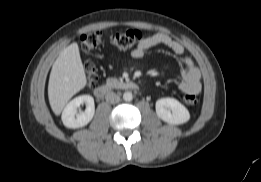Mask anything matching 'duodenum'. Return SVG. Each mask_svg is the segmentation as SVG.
I'll return each mask as SVG.
<instances>
[{"label": "duodenum", "instance_id": "obj_1", "mask_svg": "<svg viewBox=\"0 0 261 182\" xmlns=\"http://www.w3.org/2000/svg\"><path fill=\"white\" fill-rule=\"evenodd\" d=\"M112 89L137 90L138 86L133 81L110 82L96 87L94 95L101 99Z\"/></svg>", "mask_w": 261, "mask_h": 182}]
</instances>
